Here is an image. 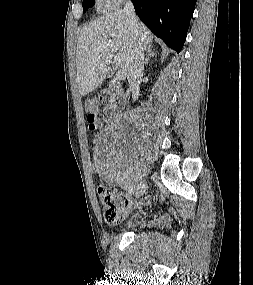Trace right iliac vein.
I'll return each instance as SVG.
<instances>
[{
    "label": "right iliac vein",
    "mask_w": 253,
    "mask_h": 285,
    "mask_svg": "<svg viewBox=\"0 0 253 285\" xmlns=\"http://www.w3.org/2000/svg\"><path fill=\"white\" fill-rule=\"evenodd\" d=\"M147 189V184L145 181L140 182L136 187V196L141 197Z\"/></svg>",
    "instance_id": "obj_1"
}]
</instances>
